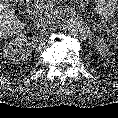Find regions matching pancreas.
<instances>
[{
    "instance_id": "cf45deb5",
    "label": "pancreas",
    "mask_w": 118,
    "mask_h": 118,
    "mask_svg": "<svg viewBox=\"0 0 118 118\" xmlns=\"http://www.w3.org/2000/svg\"><path fill=\"white\" fill-rule=\"evenodd\" d=\"M46 1L49 2V0H41L40 3H39V6L41 8L49 7V3H45ZM96 26L98 27V30H99L100 33L106 34L108 36L113 35L115 30H116L113 25L107 24L106 21L103 18H98L96 20Z\"/></svg>"
}]
</instances>
